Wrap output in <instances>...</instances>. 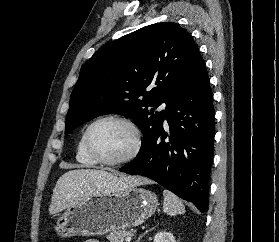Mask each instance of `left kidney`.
Returning <instances> with one entry per match:
<instances>
[{
    "label": "left kidney",
    "mask_w": 279,
    "mask_h": 242,
    "mask_svg": "<svg viewBox=\"0 0 279 242\" xmlns=\"http://www.w3.org/2000/svg\"><path fill=\"white\" fill-rule=\"evenodd\" d=\"M154 242H176V240L170 232H159L155 235Z\"/></svg>",
    "instance_id": "5707ae66"
}]
</instances>
